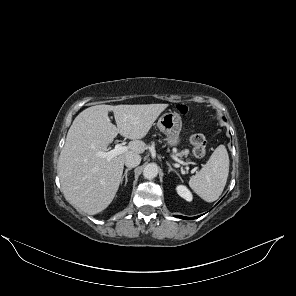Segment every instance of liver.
Returning a JSON list of instances; mask_svg holds the SVG:
<instances>
[{
    "label": "liver",
    "instance_id": "obj_1",
    "mask_svg": "<svg viewBox=\"0 0 296 296\" xmlns=\"http://www.w3.org/2000/svg\"><path fill=\"white\" fill-rule=\"evenodd\" d=\"M168 104L96 105L83 110L73 121L58 162V176L66 200L89 215L106 209L119 188L130 154H141V141ZM114 113L117 126L108 113ZM131 139L127 151L111 160L96 155L107 150L117 134Z\"/></svg>",
    "mask_w": 296,
    "mask_h": 296
}]
</instances>
